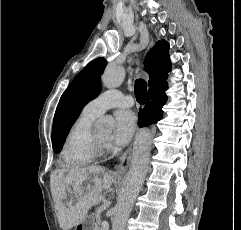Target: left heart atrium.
Listing matches in <instances>:
<instances>
[{"instance_id": "39dd6f15", "label": "left heart atrium", "mask_w": 241, "mask_h": 230, "mask_svg": "<svg viewBox=\"0 0 241 230\" xmlns=\"http://www.w3.org/2000/svg\"><path fill=\"white\" fill-rule=\"evenodd\" d=\"M136 129V117L130 110L122 109L115 113V128L112 141L115 145L127 144Z\"/></svg>"}]
</instances>
